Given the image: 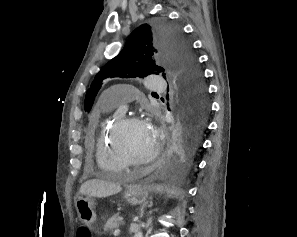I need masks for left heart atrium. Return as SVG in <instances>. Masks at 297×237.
I'll use <instances>...</instances> for the list:
<instances>
[{
  "instance_id": "obj_1",
  "label": "left heart atrium",
  "mask_w": 297,
  "mask_h": 237,
  "mask_svg": "<svg viewBox=\"0 0 297 237\" xmlns=\"http://www.w3.org/2000/svg\"><path fill=\"white\" fill-rule=\"evenodd\" d=\"M145 124H146L150 134L152 135V137L157 139L158 131H157L156 127L150 122H145Z\"/></svg>"
}]
</instances>
